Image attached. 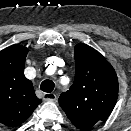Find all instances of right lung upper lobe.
<instances>
[{
  "mask_svg": "<svg viewBox=\"0 0 131 131\" xmlns=\"http://www.w3.org/2000/svg\"><path fill=\"white\" fill-rule=\"evenodd\" d=\"M27 53L20 45L0 51V122L10 127L23 123L42 102L24 76Z\"/></svg>",
  "mask_w": 131,
  "mask_h": 131,
  "instance_id": "cb5924a9",
  "label": "right lung upper lobe"
}]
</instances>
